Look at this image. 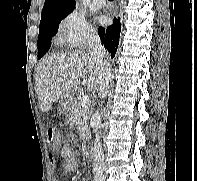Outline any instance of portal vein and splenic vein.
Instances as JSON below:
<instances>
[{
    "label": "portal vein and splenic vein",
    "mask_w": 197,
    "mask_h": 181,
    "mask_svg": "<svg viewBox=\"0 0 197 181\" xmlns=\"http://www.w3.org/2000/svg\"><path fill=\"white\" fill-rule=\"evenodd\" d=\"M76 78H77V77H76L75 75L71 76V79H72V80H75ZM57 81L59 82V81H61V79L58 78ZM89 103H90L89 96H88V95H83V96H82V99H81V107H82L83 109H86V108H88Z\"/></svg>",
    "instance_id": "1"
}]
</instances>
